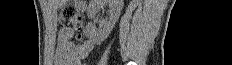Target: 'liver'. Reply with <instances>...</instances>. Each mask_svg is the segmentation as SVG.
Wrapping results in <instances>:
<instances>
[{"mask_svg":"<svg viewBox=\"0 0 232 65\" xmlns=\"http://www.w3.org/2000/svg\"><path fill=\"white\" fill-rule=\"evenodd\" d=\"M50 3H55L56 6H61L63 3L66 2V0H50Z\"/></svg>","mask_w":232,"mask_h":65,"instance_id":"liver-1","label":"liver"}]
</instances>
